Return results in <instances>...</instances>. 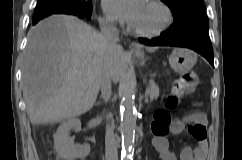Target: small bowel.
I'll list each match as a JSON object with an SVG mask.
<instances>
[{
  "label": "small bowel",
  "mask_w": 242,
  "mask_h": 160,
  "mask_svg": "<svg viewBox=\"0 0 242 160\" xmlns=\"http://www.w3.org/2000/svg\"><path fill=\"white\" fill-rule=\"evenodd\" d=\"M188 125V131L194 138L195 147H184L180 153V160H205L207 154V142H206V120L200 113H192L186 116L184 119H174L170 122L166 133L158 134L154 133L152 144L160 155L161 160H177L175 154L169 150V141L167 134L182 133ZM196 125H200L204 136L200 139L194 137L193 128Z\"/></svg>",
  "instance_id": "small-bowel-1"
}]
</instances>
